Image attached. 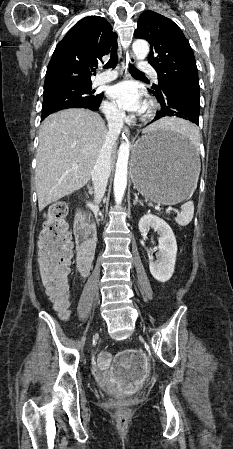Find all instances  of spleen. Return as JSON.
Listing matches in <instances>:
<instances>
[{"label":"spleen","mask_w":233,"mask_h":449,"mask_svg":"<svg viewBox=\"0 0 233 449\" xmlns=\"http://www.w3.org/2000/svg\"><path fill=\"white\" fill-rule=\"evenodd\" d=\"M172 133H182L183 138L186 142H199L200 135L197 133L194 125H174V131ZM199 174V172H198ZM194 215V203L193 201H188L181 206V213L175 217V222L180 226L188 225L193 219Z\"/></svg>","instance_id":"obj_1"}]
</instances>
